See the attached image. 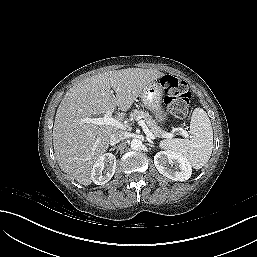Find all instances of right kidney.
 I'll list each match as a JSON object with an SVG mask.
<instances>
[{"mask_svg": "<svg viewBox=\"0 0 257 257\" xmlns=\"http://www.w3.org/2000/svg\"><path fill=\"white\" fill-rule=\"evenodd\" d=\"M116 169V157L112 153L100 156L92 166L91 178L97 185H103L110 181Z\"/></svg>", "mask_w": 257, "mask_h": 257, "instance_id": "obj_1", "label": "right kidney"}]
</instances>
